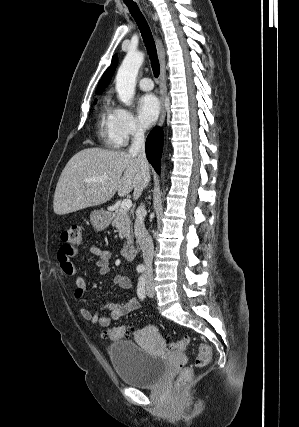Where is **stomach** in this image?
<instances>
[{"instance_id":"0dacf381","label":"stomach","mask_w":299,"mask_h":427,"mask_svg":"<svg viewBox=\"0 0 299 427\" xmlns=\"http://www.w3.org/2000/svg\"><path fill=\"white\" fill-rule=\"evenodd\" d=\"M90 221L96 230H103L109 225L110 218L104 210H94L90 214Z\"/></svg>"}]
</instances>
